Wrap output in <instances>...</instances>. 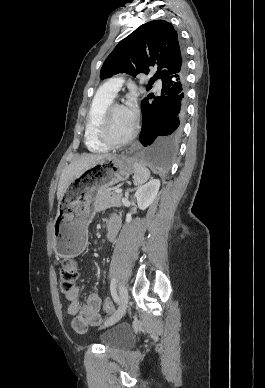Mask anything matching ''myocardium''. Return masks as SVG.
<instances>
[{
    "label": "myocardium",
    "instance_id": "1",
    "mask_svg": "<svg viewBox=\"0 0 265 388\" xmlns=\"http://www.w3.org/2000/svg\"><path fill=\"white\" fill-rule=\"evenodd\" d=\"M100 91H102V90H100ZM105 91H116L117 92V90H105ZM95 98H96V96H95ZM118 107H122V106L119 103H114V102L107 105L103 109V111L101 112L99 119H98V122H97V127H96V135H97L98 140L100 142H102L103 144H105L107 146H111V147L124 146L127 143H129L131 140H133L135 138V136L137 135V127L134 124H132L130 131L122 138L115 139V138L110 137L107 134L106 125H107L108 116L115 108H118Z\"/></svg>",
    "mask_w": 265,
    "mask_h": 388
}]
</instances>
